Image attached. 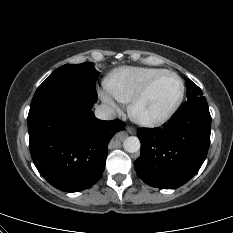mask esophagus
Returning a JSON list of instances; mask_svg holds the SVG:
<instances>
[{
	"label": "esophagus",
	"instance_id": "obj_1",
	"mask_svg": "<svg viewBox=\"0 0 233 233\" xmlns=\"http://www.w3.org/2000/svg\"><path fill=\"white\" fill-rule=\"evenodd\" d=\"M126 130L130 133V134H134L135 130L132 127L127 126Z\"/></svg>",
	"mask_w": 233,
	"mask_h": 233
}]
</instances>
